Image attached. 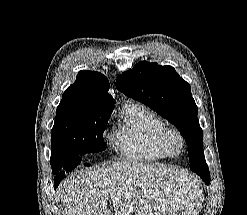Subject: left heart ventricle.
Returning <instances> with one entry per match:
<instances>
[{"label":"left heart ventricle","mask_w":247,"mask_h":215,"mask_svg":"<svg viewBox=\"0 0 247 215\" xmlns=\"http://www.w3.org/2000/svg\"><path fill=\"white\" fill-rule=\"evenodd\" d=\"M178 145H179V144H178L177 139L174 138V139L172 140V146H173L174 148L177 149V148H178Z\"/></svg>","instance_id":"1"}]
</instances>
